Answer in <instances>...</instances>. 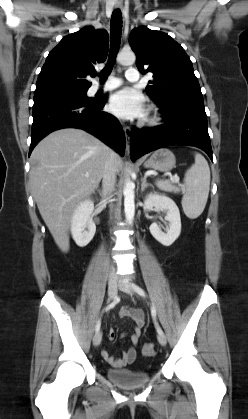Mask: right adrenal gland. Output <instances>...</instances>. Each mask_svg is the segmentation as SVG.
Segmentation results:
<instances>
[{
	"label": "right adrenal gland",
	"instance_id": "2a0ac1e0",
	"mask_svg": "<svg viewBox=\"0 0 248 419\" xmlns=\"http://www.w3.org/2000/svg\"><path fill=\"white\" fill-rule=\"evenodd\" d=\"M97 188H98V186H97ZM98 192L100 193V195L102 194V191H101V190H99V189H98Z\"/></svg>",
	"mask_w": 248,
	"mask_h": 419
}]
</instances>
